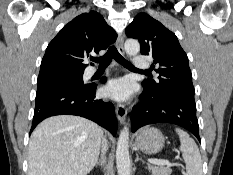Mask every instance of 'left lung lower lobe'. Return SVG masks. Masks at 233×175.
<instances>
[{
  "mask_svg": "<svg viewBox=\"0 0 233 175\" xmlns=\"http://www.w3.org/2000/svg\"><path fill=\"white\" fill-rule=\"evenodd\" d=\"M154 123L179 125L201 141L194 93L171 91L157 96L144 90L132 111L131 130Z\"/></svg>",
  "mask_w": 233,
  "mask_h": 175,
  "instance_id": "0a47b994",
  "label": "left lung lower lobe"
}]
</instances>
